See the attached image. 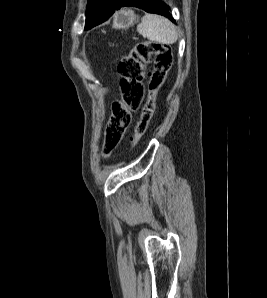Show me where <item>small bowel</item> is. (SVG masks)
Masks as SVG:
<instances>
[{"label": "small bowel", "mask_w": 267, "mask_h": 298, "mask_svg": "<svg viewBox=\"0 0 267 298\" xmlns=\"http://www.w3.org/2000/svg\"><path fill=\"white\" fill-rule=\"evenodd\" d=\"M121 104L120 101L115 102V106ZM132 117V116H131Z\"/></svg>", "instance_id": "obj_1"}]
</instances>
